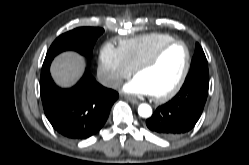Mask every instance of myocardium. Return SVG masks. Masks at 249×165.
Wrapping results in <instances>:
<instances>
[{
  "instance_id": "obj_1",
  "label": "myocardium",
  "mask_w": 249,
  "mask_h": 165,
  "mask_svg": "<svg viewBox=\"0 0 249 165\" xmlns=\"http://www.w3.org/2000/svg\"><path fill=\"white\" fill-rule=\"evenodd\" d=\"M180 44L182 45L185 50H186V62H185V66L184 69L180 75L179 80L177 81L176 85L169 90L168 92L161 94V95H152V98L154 101L156 102H165L168 101L169 99L173 98L182 88V86L185 83V80L188 76V73L190 71V67H191V52L190 49L188 47V45L181 40H172L170 42H167L165 44H163L162 46H160L153 55H151L149 58H147L145 61L141 62L135 69H134V75L137 76L138 73L148 69L149 67H151L152 65H154L155 63H157L159 61V59L161 58V56L163 55V53L170 47Z\"/></svg>"
}]
</instances>
